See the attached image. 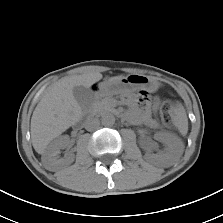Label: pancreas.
Segmentation results:
<instances>
[{
	"mask_svg": "<svg viewBox=\"0 0 223 223\" xmlns=\"http://www.w3.org/2000/svg\"><path fill=\"white\" fill-rule=\"evenodd\" d=\"M112 110L111 98L105 97L102 100H96L90 104V111L93 114H102Z\"/></svg>",
	"mask_w": 223,
	"mask_h": 223,
	"instance_id": "pancreas-1",
	"label": "pancreas"
}]
</instances>
